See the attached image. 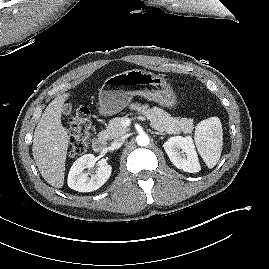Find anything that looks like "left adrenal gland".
<instances>
[{
    "mask_svg": "<svg viewBox=\"0 0 269 269\" xmlns=\"http://www.w3.org/2000/svg\"><path fill=\"white\" fill-rule=\"evenodd\" d=\"M152 134H156V135H164V133H162V132H152Z\"/></svg>",
    "mask_w": 269,
    "mask_h": 269,
    "instance_id": "obj_1",
    "label": "left adrenal gland"
}]
</instances>
